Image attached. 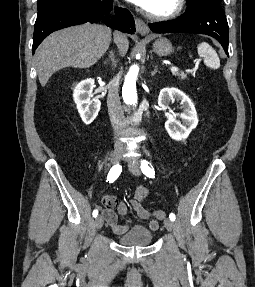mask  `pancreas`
<instances>
[{
  "instance_id": "1",
  "label": "pancreas",
  "mask_w": 255,
  "mask_h": 287,
  "mask_svg": "<svg viewBox=\"0 0 255 287\" xmlns=\"http://www.w3.org/2000/svg\"><path fill=\"white\" fill-rule=\"evenodd\" d=\"M173 76H179L180 80H185V78H187V74H184V72H175Z\"/></svg>"
}]
</instances>
